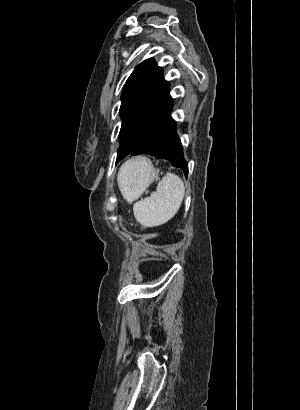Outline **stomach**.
<instances>
[{"instance_id": "1", "label": "stomach", "mask_w": 300, "mask_h": 410, "mask_svg": "<svg viewBox=\"0 0 300 410\" xmlns=\"http://www.w3.org/2000/svg\"><path fill=\"white\" fill-rule=\"evenodd\" d=\"M139 163L142 168L137 169L133 174L129 190L131 200L138 198L158 176V171L149 160L141 158Z\"/></svg>"}]
</instances>
